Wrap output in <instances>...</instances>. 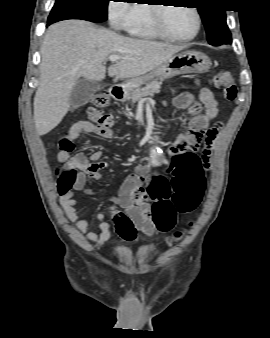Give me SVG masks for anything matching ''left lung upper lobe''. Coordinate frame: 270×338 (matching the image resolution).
Instances as JSON below:
<instances>
[{"label": "left lung upper lobe", "instance_id": "left-lung-upper-lobe-1", "mask_svg": "<svg viewBox=\"0 0 270 338\" xmlns=\"http://www.w3.org/2000/svg\"><path fill=\"white\" fill-rule=\"evenodd\" d=\"M198 11L206 28L208 42L213 46L231 42V33L226 24L225 10L218 6L222 0H199Z\"/></svg>", "mask_w": 270, "mask_h": 338}]
</instances>
